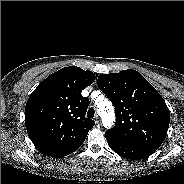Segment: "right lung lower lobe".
Masks as SVG:
<instances>
[{
  "mask_svg": "<svg viewBox=\"0 0 184 184\" xmlns=\"http://www.w3.org/2000/svg\"><path fill=\"white\" fill-rule=\"evenodd\" d=\"M72 153H73V152H72ZM69 154H71V153L58 155V156H55V158L63 157V156L69 155Z\"/></svg>",
  "mask_w": 184,
  "mask_h": 184,
  "instance_id": "98d812e1",
  "label": "right lung lower lobe"
}]
</instances>
